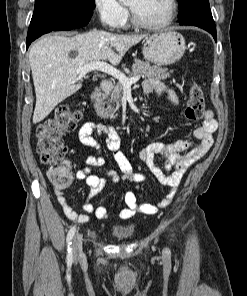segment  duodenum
Masks as SVG:
<instances>
[{"mask_svg": "<svg viewBox=\"0 0 247 296\" xmlns=\"http://www.w3.org/2000/svg\"><path fill=\"white\" fill-rule=\"evenodd\" d=\"M112 89V83L109 80L102 79L99 81L95 91L92 95V103L94 104L104 94L108 93Z\"/></svg>", "mask_w": 247, "mask_h": 296, "instance_id": "410a0bca", "label": "duodenum"}]
</instances>
